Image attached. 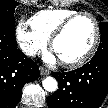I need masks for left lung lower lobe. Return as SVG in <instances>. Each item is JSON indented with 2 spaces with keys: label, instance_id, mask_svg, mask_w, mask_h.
I'll return each mask as SVG.
<instances>
[{
  "label": "left lung lower lobe",
  "instance_id": "obj_1",
  "mask_svg": "<svg viewBox=\"0 0 108 108\" xmlns=\"http://www.w3.org/2000/svg\"><path fill=\"white\" fill-rule=\"evenodd\" d=\"M52 75L59 89L48 97V108H98L108 93V55H95L81 68Z\"/></svg>",
  "mask_w": 108,
  "mask_h": 108
}]
</instances>
